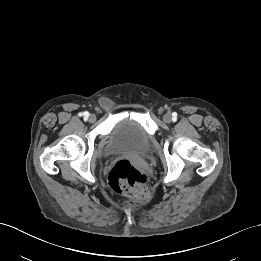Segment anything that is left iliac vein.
<instances>
[{
  "mask_svg": "<svg viewBox=\"0 0 261 261\" xmlns=\"http://www.w3.org/2000/svg\"><path fill=\"white\" fill-rule=\"evenodd\" d=\"M163 120H164V122H166V123H170V122L172 121V116H171V114H169V113L165 114V115L163 116Z\"/></svg>",
  "mask_w": 261,
  "mask_h": 261,
  "instance_id": "left-iliac-vein-1",
  "label": "left iliac vein"
}]
</instances>
